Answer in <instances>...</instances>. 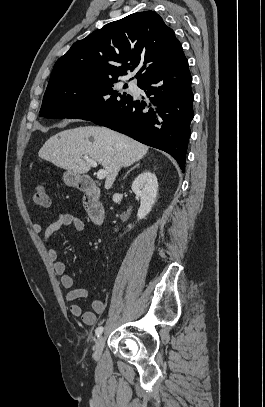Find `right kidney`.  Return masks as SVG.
I'll return each mask as SVG.
<instances>
[{"label": "right kidney", "instance_id": "1", "mask_svg": "<svg viewBox=\"0 0 265 407\" xmlns=\"http://www.w3.org/2000/svg\"><path fill=\"white\" fill-rule=\"evenodd\" d=\"M132 191L140 198V207L138 209V220H141L149 214L157 197L158 181L155 174L144 171L139 174L132 183ZM130 229L131 225L128 226Z\"/></svg>", "mask_w": 265, "mask_h": 407}]
</instances>
